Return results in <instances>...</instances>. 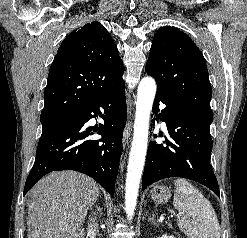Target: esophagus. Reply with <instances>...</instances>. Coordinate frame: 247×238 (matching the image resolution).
Returning <instances> with one entry per match:
<instances>
[{
  "mask_svg": "<svg viewBox=\"0 0 247 238\" xmlns=\"http://www.w3.org/2000/svg\"><path fill=\"white\" fill-rule=\"evenodd\" d=\"M130 134H131V124L128 123L124 129V132H123V143H124V146L128 143V140L130 138Z\"/></svg>",
  "mask_w": 247,
  "mask_h": 238,
  "instance_id": "esophagus-1",
  "label": "esophagus"
}]
</instances>
